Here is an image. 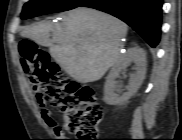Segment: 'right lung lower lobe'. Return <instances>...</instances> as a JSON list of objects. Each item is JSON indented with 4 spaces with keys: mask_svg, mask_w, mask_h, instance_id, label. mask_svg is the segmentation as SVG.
<instances>
[{
    "mask_svg": "<svg viewBox=\"0 0 182 140\" xmlns=\"http://www.w3.org/2000/svg\"><path fill=\"white\" fill-rule=\"evenodd\" d=\"M163 0H86L79 7L109 13L131 26L151 46L160 40Z\"/></svg>",
    "mask_w": 182,
    "mask_h": 140,
    "instance_id": "1",
    "label": "right lung lower lobe"
}]
</instances>
